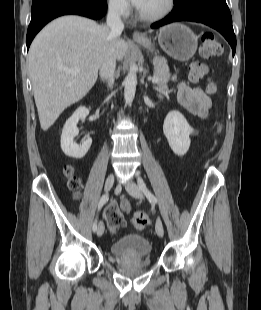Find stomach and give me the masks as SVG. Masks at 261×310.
Segmentation results:
<instances>
[{"label": "stomach", "mask_w": 261, "mask_h": 310, "mask_svg": "<svg viewBox=\"0 0 261 310\" xmlns=\"http://www.w3.org/2000/svg\"><path fill=\"white\" fill-rule=\"evenodd\" d=\"M158 42L167 55L179 61L190 60L198 46L196 35L182 23H172L163 27L159 32ZM139 43L146 48H153L148 40Z\"/></svg>", "instance_id": "1"}]
</instances>
